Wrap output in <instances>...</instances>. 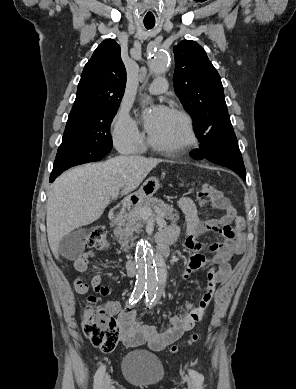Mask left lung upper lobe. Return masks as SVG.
I'll use <instances>...</instances> for the list:
<instances>
[{
    "mask_svg": "<svg viewBox=\"0 0 296 389\" xmlns=\"http://www.w3.org/2000/svg\"><path fill=\"white\" fill-rule=\"evenodd\" d=\"M174 56L175 92L193 118L200 139L213 124L229 116L221 78L205 50L194 41L183 40L174 46Z\"/></svg>",
    "mask_w": 296,
    "mask_h": 389,
    "instance_id": "left-lung-upper-lobe-1",
    "label": "left lung upper lobe"
}]
</instances>
